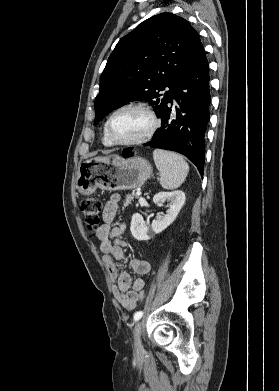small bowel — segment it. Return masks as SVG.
Segmentation results:
<instances>
[{
    "mask_svg": "<svg viewBox=\"0 0 279 391\" xmlns=\"http://www.w3.org/2000/svg\"><path fill=\"white\" fill-rule=\"evenodd\" d=\"M119 195H113L106 203L103 213V224L98 228L96 235L100 241L102 260L109 269L110 278L114 284V295L118 302L127 311L134 310L139 302L138 293L144 289L145 280L138 278L132 281L123 264L128 262L130 268L139 275L150 271V263L141 259L127 260L125 243L120 236L125 229L123 223L113 226V220L118 211Z\"/></svg>",
    "mask_w": 279,
    "mask_h": 391,
    "instance_id": "obj_1",
    "label": "small bowel"
}]
</instances>
